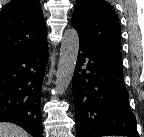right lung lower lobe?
<instances>
[{"instance_id": "98d812e1", "label": "right lung lower lobe", "mask_w": 144, "mask_h": 137, "mask_svg": "<svg viewBox=\"0 0 144 137\" xmlns=\"http://www.w3.org/2000/svg\"><path fill=\"white\" fill-rule=\"evenodd\" d=\"M48 59L46 39L0 63V122L42 137L41 87Z\"/></svg>"}]
</instances>
